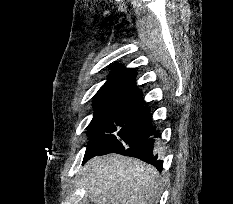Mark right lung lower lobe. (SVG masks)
<instances>
[{
  "instance_id": "obj_1",
  "label": "right lung lower lobe",
  "mask_w": 233,
  "mask_h": 204,
  "mask_svg": "<svg viewBox=\"0 0 233 204\" xmlns=\"http://www.w3.org/2000/svg\"><path fill=\"white\" fill-rule=\"evenodd\" d=\"M108 153H119L125 156L136 157L141 159L142 161L154 165L159 171H161L162 169L163 162L158 159V154L155 153L153 138H149L146 141L137 143L133 146L118 151H110V150L107 151L106 149H102L101 147L96 148V147L88 146L84 156L83 163H85L93 156L103 155Z\"/></svg>"
}]
</instances>
